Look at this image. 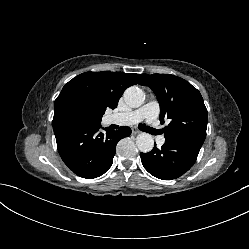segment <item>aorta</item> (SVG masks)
I'll use <instances>...</instances> for the list:
<instances>
[{"instance_id":"obj_1","label":"aorta","mask_w":249,"mask_h":249,"mask_svg":"<svg viewBox=\"0 0 249 249\" xmlns=\"http://www.w3.org/2000/svg\"><path fill=\"white\" fill-rule=\"evenodd\" d=\"M124 100L130 107L136 108L141 106L145 100V94L137 86H131L124 92ZM136 145L143 153H148L153 149L154 139L148 133H141L136 137Z\"/></svg>"}]
</instances>
